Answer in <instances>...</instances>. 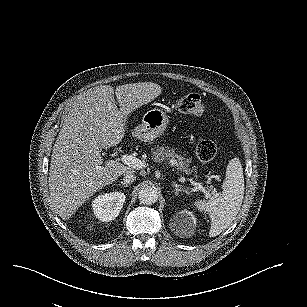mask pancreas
Segmentation results:
<instances>
[{"instance_id": "pancreas-1", "label": "pancreas", "mask_w": 307, "mask_h": 307, "mask_svg": "<svg viewBox=\"0 0 307 307\" xmlns=\"http://www.w3.org/2000/svg\"><path fill=\"white\" fill-rule=\"evenodd\" d=\"M151 160L155 163L169 162L172 167L182 174L192 175L197 173L196 167L190 168L186 158L182 157L175 149H171L165 144L151 148ZM202 184L207 185L210 190L215 192L208 181H202Z\"/></svg>"}]
</instances>
